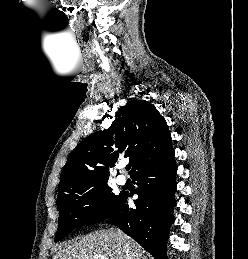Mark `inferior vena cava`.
<instances>
[{"label": "inferior vena cava", "instance_id": "602c4592", "mask_svg": "<svg viewBox=\"0 0 248 259\" xmlns=\"http://www.w3.org/2000/svg\"><path fill=\"white\" fill-rule=\"evenodd\" d=\"M117 231H118V234L122 233L120 230H117ZM126 259H132V256H131L129 250L126 251Z\"/></svg>", "mask_w": 248, "mask_h": 259}]
</instances>
